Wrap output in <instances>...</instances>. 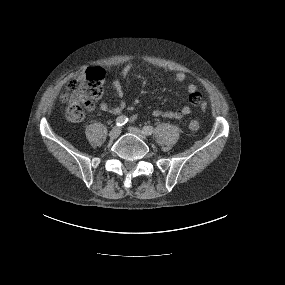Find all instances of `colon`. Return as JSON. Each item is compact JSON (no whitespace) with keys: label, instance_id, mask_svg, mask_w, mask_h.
Wrapping results in <instances>:
<instances>
[{"label":"colon","instance_id":"colon-1","mask_svg":"<svg viewBox=\"0 0 285 285\" xmlns=\"http://www.w3.org/2000/svg\"><path fill=\"white\" fill-rule=\"evenodd\" d=\"M103 81L104 71L100 67H89L69 82L63 100L67 104V116L70 120L81 121L85 110L93 108L94 101L102 94ZM198 128L197 120L188 123L189 131H196Z\"/></svg>","mask_w":285,"mask_h":285}]
</instances>
